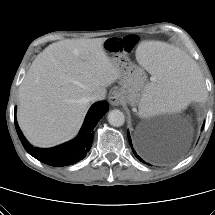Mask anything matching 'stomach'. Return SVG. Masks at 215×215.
Listing matches in <instances>:
<instances>
[{
  "instance_id": "stomach-1",
  "label": "stomach",
  "mask_w": 215,
  "mask_h": 215,
  "mask_svg": "<svg viewBox=\"0 0 215 215\" xmlns=\"http://www.w3.org/2000/svg\"><path fill=\"white\" fill-rule=\"evenodd\" d=\"M112 54L110 59L120 71V93L128 104L135 106L139 102L144 85V70L133 64L126 54L120 52Z\"/></svg>"
}]
</instances>
